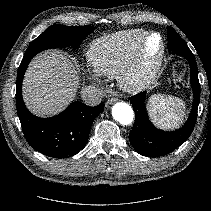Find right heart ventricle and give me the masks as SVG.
I'll return each instance as SVG.
<instances>
[{"mask_svg":"<svg viewBox=\"0 0 211 211\" xmlns=\"http://www.w3.org/2000/svg\"><path fill=\"white\" fill-rule=\"evenodd\" d=\"M146 32L128 29L94 40L87 53L91 66L102 76H116Z\"/></svg>","mask_w":211,"mask_h":211,"instance_id":"e07e8e85","label":"right heart ventricle"}]
</instances>
